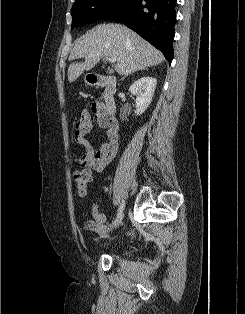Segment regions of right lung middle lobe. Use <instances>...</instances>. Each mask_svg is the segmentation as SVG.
Returning a JSON list of instances; mask_svg holds the SVG:
<instances>
[{"label": "right lung middle lobe", "mask_w": 245, "mask_h": 314, "mask_svg": "<svg viewBox=\"0 0 245 314\" xmlns=\"http://www.w3.org/2000/svg\"><path fill=\"white\" fill-rule=\"evenodd\" d=\"M130 0H77L72 7L71 28L107 18Z\"/></svg>", "instance_id": "1"}]
</instances>
